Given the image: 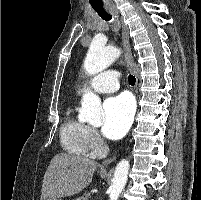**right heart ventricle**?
Segmentation results:
<instances>
[{"mask_svg": "<svg viewBox=\"0 0 201 200\" xmlns=\"http://www.w3.org/2000/svg\"><path fill=\"white\" fill-rule=\"evenodd\" d=\"M88 126L81 121L69 106L62 121L60 137L63 148L75 155H86L89 152L87 140Z\"/></svg>", "mask_w": 201, "mask_h": 200, "instance_id": "1", "label": "right heart ventricle"}]
</instances>
